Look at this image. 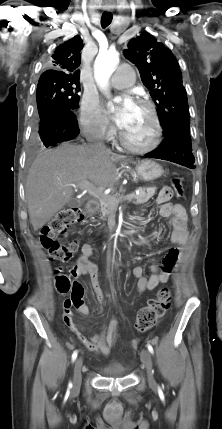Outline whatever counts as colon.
<instances>
[{"instance_id": "colon-1", "label": "colon", "mask_w": 222, "mask_h": 429, "mask_svg": "<svg viewBox=\"0 0 222 429\" xmlns=\"http://www.w3.org/2000/svg\"><path fill=\"white\" fill-rule=\"evenodd\" d=\"M160 195L169 200L174 196L181 198L184 196V189L180 178H173L171 186L164 187ZM86 214L81 208H66L55 215L41 229L39 241L51 259L66 262L70 260L75 251L76 244H64L58 241V237L70 226L80 223L84 220ZM56 288L59 293L66 294L71 291L79 293L82 286L72 281L70 277L62 272H57L55 280ZM172 299L171 290L162 288L157 298L150 299L147 305L142 307L137 314L135 328L138 332L143 333L156 325L159 319L167 312Z\"/></svg>"}]
</instances>
